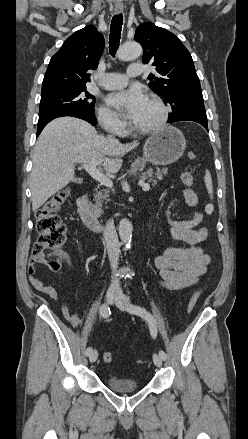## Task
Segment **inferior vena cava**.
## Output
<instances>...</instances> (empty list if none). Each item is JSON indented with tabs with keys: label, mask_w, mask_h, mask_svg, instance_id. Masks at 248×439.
<instances>
[{
	"label": "inferior vena cava",
	"mask_w": 248,
	"mask_h": 439,
	"mask_svg": "<svg viewBox=\"0 0 248 439\" xmlns=\"http://www.w3.org/2000/svg\"><path fill=\"white\" fill-rule=\"evenodd\" d=\"M108 138H113L112 135H109ZM114 139V138H113ZM104 240L106 242L108 257L110 261V265L112 270H116L118 267L119 261V240L115 230V226L113 222L110 220L106 223L105 229L103 232ZM111 286H119V280L115 277L112 278Z\"/></svg>",
	"instance_id": "inferior-vena-cava-1"
}]
</instances>
